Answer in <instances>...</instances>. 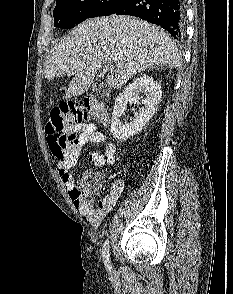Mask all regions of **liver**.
<instances>
[{
	"mask_svg": "<svg viewBox=\"0 0 233 294\" xmlns=\"http://www.w3.org/2000/svg\"><path fill=\"white\" fill-rule=\"evenodd\" d=\"M114 65L107 83L119 89L134 75L154 66L178 68L182 58L175 42L156 25L129 16L112 15L76 26L51 49L45 78L73 75L66 98L82 95L97 70Z\"/></svg>",
	"mask_w": 233,
	"mask_h": 294,
	"instance_id": "6515ba94",
	"label": "liver"
}]
</instances>
